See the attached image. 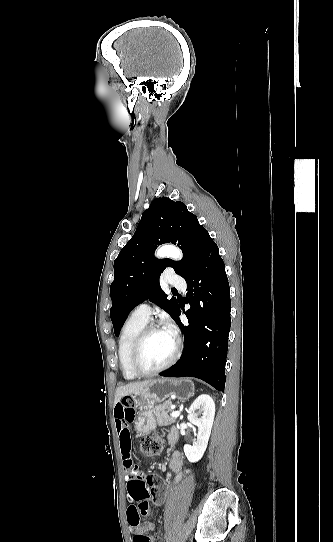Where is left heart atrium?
<instances>
[{
  "label": "left heart atrium",
  "mask_w": 333,
  "mask_h": 542,
  "mask_svg": "<svg viewBox=\"0 0 333 542\" xmlns=\"http://www.w3.org/2000/svg\"><path fill=\"white\" fill-rule=\"evenodd\" d=\"M164 330L170 335L172 336L173 338L176 337L177 335V330H176V327L175 325L171 322V321H166L165 325H164Z\"/></svg>",
  "instance_id": "obj_1"
}]
</instances>
